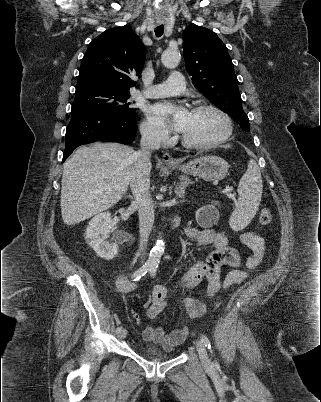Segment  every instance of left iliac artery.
<instances>
[{"label":"left iliac artery","instance_id":"1","mask_svg":"<svg viewBox=\"0 0 321 402\" xmlns=\"http://www.w3.org/2000/svg\"><path fill=\"white\" fill-rule=\"evenodd\" d=\"M157 266H152L150 274L154 276L156 274ZM201 341L204 343L205 347L211 351V343L206 335H201ZM214 365L217 367L218 363L215 361Z\"/></svg>","mask_w":321,"mask_h":402}]
</instances>
